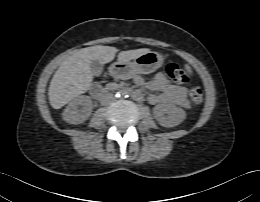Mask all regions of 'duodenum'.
Here are the masks:
<instances>
[{"label":"duodenum","instance_id":"410a0bca","mask_svg":"<svg viewBox=\"0 0 260 202\" xmlns=\"http://www.w3.org/2000/svg\"><path fill=\"white\" fill-rule=\"evenodd\" d=\"M111 72H112L113 75H119V74L122 73L121 70L118 67H113ZM121 89L124 90V91L129 92L136 99H143V95L138 93V92H135V91H133V90L127 88V87H122ZM90 93L95 98H99V97H101L103 95V91H101L100 89H98L96 87H91L90 88Z\"/></svg>","mask_w":260,"mask_h":202}]
</instances>
